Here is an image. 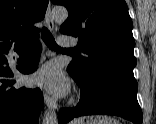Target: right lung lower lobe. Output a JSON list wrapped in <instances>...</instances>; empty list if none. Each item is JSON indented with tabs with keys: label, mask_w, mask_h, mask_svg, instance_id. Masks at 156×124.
I'll use <instances>...</instances> for the list:
<instances>
[{
	"label": "right lung lower lobe",
	"mask_w": 156,
	"mask_h": 124,
	"mask_svg": "<svg viewBox=\"0 0 156 124\" xmlns=\"http://www.w3.org/2000/svg\"><path fill=\"white\" fill-rule=\"evenodd\" d=\"M34 43L32 40L23 47L0 48V124H37L43 106V94L40 89L13 87L15 81L8 80L13 73L8 66V53L14 49L22 56ZM41 47L36 43L28 60L18 67L21 73L29 74L37 69Z\"/></svg>",
	"instance_id": "obj_1"
}]
</instances>
